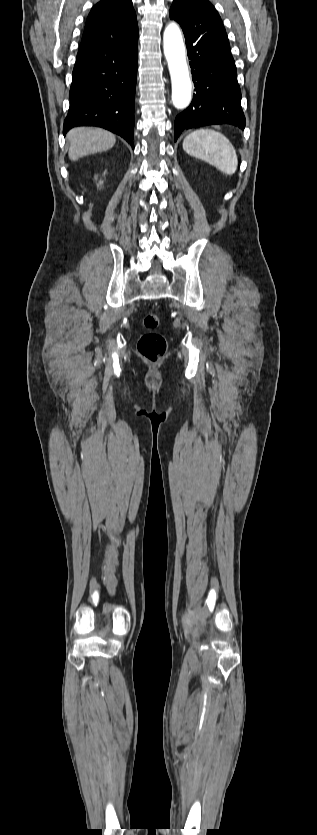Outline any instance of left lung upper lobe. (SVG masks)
<instances>
[{"label": "left lung upper lobe", "instance_id": "left-lung-upper-lobe-1", "mask_svg": "<svg viewBox=\"0 0 317 835\" xmlns=\"http://www.w3.org/2000/svg\"><path fill=\"white\" fill-rule=\"evenodd\" d=\"M178 7H185L191 10L207 11L218 14V12L215 10L213 5L208 0H173V4L170 8V16H173L182 23H184L187 20V16L179 12L177 10Z\"/></svg>", "mask_w": 317, "mask_h": 835}]
</instances>
